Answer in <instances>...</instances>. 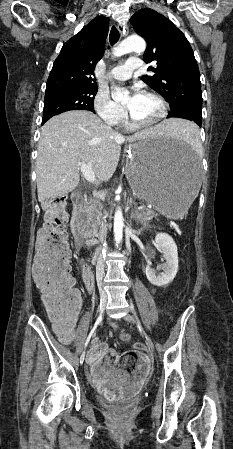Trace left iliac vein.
Wrapping results in <instances>:
<instances>
[{
  "instance_id": "1",
  "label": "left iliac vein",
  "mask_w": 233,
  "mask_h": 449,
  "mask_svg": "<svg viewBox=\"0 0 233 449\" xmlns=\"http://www.w3.org/2000/svg\"><path fill=\"white\" fill-rule=\"evenodd\" d=\"M124 320H126V321H128L130 323L136 324L135 318L131 314H129V313L124 316ZM144 335H145L146 343L148 345L149 350L151 352H154L155 346H154V343H153L152 339L145 332H144Z\"/></svg>"
}]
</instances>
